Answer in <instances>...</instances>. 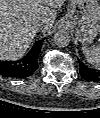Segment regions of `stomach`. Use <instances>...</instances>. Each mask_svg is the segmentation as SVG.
I'll return each instance as SVG.
<instances>
[{
	"instance_id": "stomach-1",
	"label": "stomach",
	"mask_w": 100,
	"mask_h": 118,
	"mask_svg": "<svg viewBox=\"0 0 100 118\" xmlns=\"http://www.w3.org/2000/svg\"><path fill=\"white\" fill-rule=\"evenodd\" d=\"M64 24L75 32L80 43L91 44L100 32L98 0H71Z\"/></svg>"
}]
</instances>
